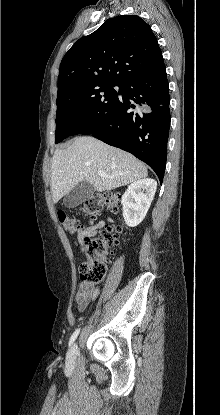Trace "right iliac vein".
Returning a JSON list of instances; mask_svg holds the SVG:
<instances>
[{
    "label": "right iliac vein",
    "instance_id": "1",
    "mask_svg": "<svg viewBox=\"0 0 220 415\" xmlns=\"http://www.w3.org/2000/svg\"><path fill=\"white\" fill-rule=\"evenodd\" d=\"M78 352V344L75 342L71 348L69 349V352L67 354V363H72L76 357V354Z\"/></svg>",
    "mask_w": 220,
    "mask_h": 415
}]
</instances>
